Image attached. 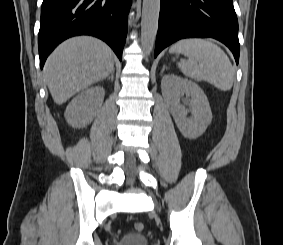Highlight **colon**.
<instances>
[{
  "mask_svg": "<svg viewBox=\"0 0 283 245\" xmlns=\"http://www.w3.org/2000/svg\"><path fill=\"white\" fill-rule=\"evenodd\" d=\"M134 229L137 231V232H141L143 231L144 229V224L142 222H136L134 224Z\"/></svg>",
  "mask_w": 283,
  "mask_h": 245,
  "instance_id": "5ec220e1",
  "label": "colon"
}]
</instances>
